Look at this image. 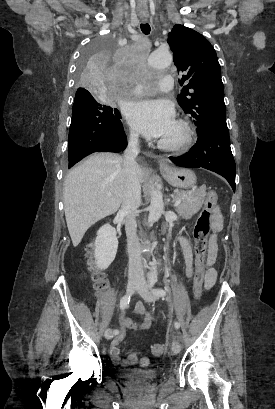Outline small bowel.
Segmentation results:
<instances>
[{"instance_id": "1", "label": "small bowel", "mask_w": 275, "mask_h": 409, "mask_svg": "<svg viewBox=\"0 0 275 409\" xmlns=\"http://www.w3.org/2000/svg\"><path fill=\"white\" fill-rule=\"evenodd\" d=\"M222 215L218 208L215 209L213 223H212V230L213 234L210 239L209 244V252L206 259V266L209 268L207 271L208 273L215 272L216 277L215 279L211 280L209 277L206 278L205 286L206 288H210L214 285L217 278V273L215 269L212 268L216 257H217V233L222 229ZM178 242L182 248L184 260H185V274L188 278H191L193 275V254L192 249L189 241L183 237H178ZM135 311L139 314L138 318H131L127 317L124 320V326L128 329H135V330H144L149 329L152 327L155 318L147 309L146 305L143 302H138L135 306ZM123 338V334L120 333L117 335L111 342L110 345V356L116 363L126 366V365H140L146 366L148 365L149 361L147 358H138L136 354H130L127 358L121 359L120 357V349L119 344ZM146 360L145 363L143 361Z\"/></svg>"}]
</instances>
